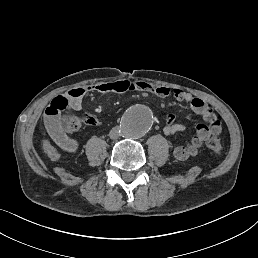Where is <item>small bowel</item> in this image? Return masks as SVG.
<instances>
[{
    "label": "small bowel",
    "instance_id": "small-bowel-1",
    "mask_svg": "<svg viewBox=\"0 0 258 258\" xmlns=\"http://www.w3.org/2000/svg\"><path fill=\"white\" fill-rule=\"evenodd\" d=\"M128 91H141L153 93L158 97L172 96L178 101L187 103L192 111L201 116L207 124H198L196 134L185 145L178 146L173 150L174 157L183 161L197 154L199 148L211 136L220 134L221 123L214 110L201 98L195 97L181 89H170L165 86H154L145 81H131L121 79L115 82L98 83L91 86H83L71 89L65 95L55 97L47 107L44 116L45 126L54 142L64 151L74 153L78 149V143L68 135L67 120L63 112L67 109L79 111L83 106V98L91 92L98 93H124ZM174 115L168 113L165 117L163 132L173 135L185 130L181 123L174 122ZM81 122L88 126H99L98 119L90 114H84Z\"/></svg>",
    "mask_w": 258,
    "mask_h": 258
}]
</instances>
